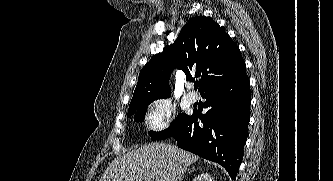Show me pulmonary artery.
<instances>
[{"mask_svg": "<svg viewBox=\"0 0 333 181\" xmlns=\"http://www.w3.org/2000/svg\"><path fill=\"white\" fill-rule=\"evenodd\" d=\"M187 99H188L189 102L195 103L198 100V96L193 92H189L187 94Z\"/></svg>", "mask_w": 333, "mask_h": 181, "instance_id": "obj_1", "label": "pulmonary artery"}]
</instances>
